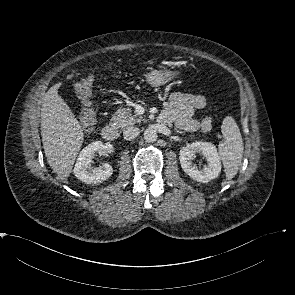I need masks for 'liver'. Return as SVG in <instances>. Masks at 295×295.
Masks as SVG:
<instances>
[{
    "mask_svg": "<svg viewBox=\"0 0 295 295\" xmlns=\"http://www.w3.org/2000/svg\"><path fill=\"white\" fill-rule=\"evenodd\" d=\"M73 74L68 75L71 79ZM62 85H53L45 94L41 108V136L48 164L59 176L68 177L84 140L79 121L58 94Z\"/></svg>",
    "mask_w": 295,
    "mask_h": 295,
    "instance_id": "6515ba94",
    "label": "liver"
}]
</instances>
